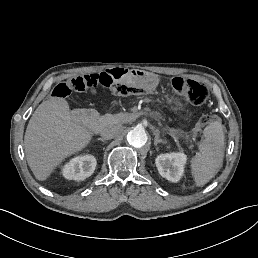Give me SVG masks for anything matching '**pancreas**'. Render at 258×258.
Wrapping results in <instances>:
<instances>
[{
    "label": "pancreas",
    "instance_id": "1",
    "mask_svg": "<svg viewBox=\"0 0 258 258\" xmlns=\"http://www.w3.org/2000/svg\"><path fill=\"white\" fill-rule=\"evenodd\" d=\"M137 119V118H151V119H154L155 122H160L161 121V116L159 113H156V112H151V111H135V110H130L128 112L125 113V115H120L117 117V124L118 125H123L124 122H131L132 119ZM104 119V122L105 124L108 123V120L110 118L108 117H105L103 118ZM177 134H178V131L175 130V129H170L169 130V135L170 136H173V137H177Z\"/></svg>",
    "mask_w": 258,
    "mask_h": 258
}]
</instances>
